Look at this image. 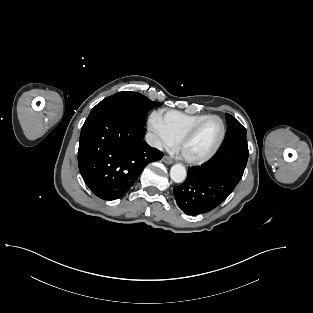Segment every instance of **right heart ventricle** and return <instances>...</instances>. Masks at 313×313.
Segmentation results:
<instances>
[{
  "label": "right heart ventricle",
  "mask_w": 313,
  "mask_h": 313,
  "mask_svg": "<svg viewBox=\"0 0 313 313\" xmlns=\"http://www.w3.org/2000/svg\"><path fill=\"white\" fill-rule=\"evenodd\" d=\"M160 125L166 134L176 143L179 137L193 124L200 121L205 114H186L175 110H164L158 114Z\"/></svg>",
  "instance_id": "e07e8e85"
}]
</instances>
